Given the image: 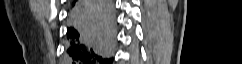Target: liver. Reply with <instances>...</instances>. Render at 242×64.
I'll return each mask as SVG.
<instances>
[{"label": "liver", "mask_w": 242, "mask_h": 64, "mask_svg": "<svg viewBox=\"0 0 242 64\" xmlns=\"http://www.w3.org/2000/svg\"><path fill=\"white\" fill-rule=\"evenodd\" d=\"M82 26L87 32H89L88 35H98L108 30L102 21L100 12L97 11H92L88 18L85 21H82Z\"/></svg>", "instance_id": "1"}]
</instances>
